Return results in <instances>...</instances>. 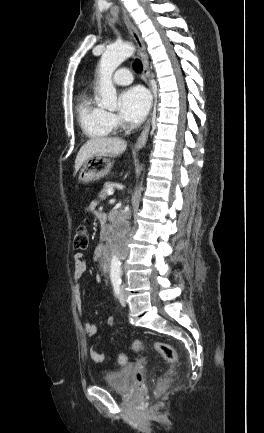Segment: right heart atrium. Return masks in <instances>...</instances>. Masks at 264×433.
<instances>
[{"instance_id": "right-heart-atrium-1", "label": "right heart atrium", "mask_w": 264, "mask_h": 433, "mask_svg": "<svg viewBox=\"0 0 264 433\" xmlns=\"http://www.w3.org/2000/svg\"><path fill=\"white\" fill-rule=\"evenodd\" d=\"M108 116H109V120L112 123V125L113 126L116 125L118 122L116 116L114 114H111V113H109Z\"/></svg>"}]
</instances>
